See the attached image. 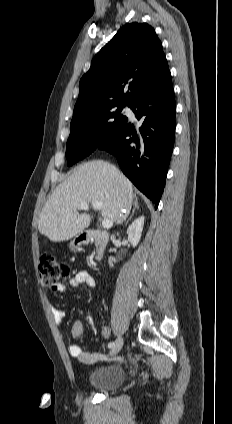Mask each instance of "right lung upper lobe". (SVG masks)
Segmentation results:
<instances>
[{
  "mask_svg": "<svg viewBox=\"0 0 232 424\" xmlns=\"http://www.w3.org/2000/svg\"><path fill=\"white\" fill-rule=\"evenodd\" d=\"M168 71L153 27L147 23L126 24L97 53L89 71L81 78L73 118L93 108L131 106Z\"/></svg>",
  "mask_w": 232,
  "mask_h": 424,
  "instance_id": "cb5924a9",
  "label": "right lung upper lobe"
}]
</instances>
